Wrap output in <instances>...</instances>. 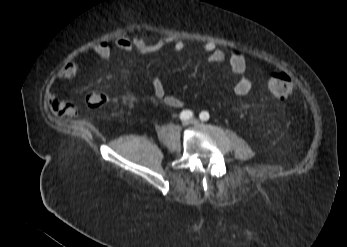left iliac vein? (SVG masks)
<instances>
[{
    "mask_svg": "<svg viewBox=\"0 0 347 247\" xmlns=\"http://www.w3.org/2000/svg\"><path fill=\"white\" fill-rule=\"evenodd\" d=\"M191 124L197 125V124H198V120L192 119V120H191Z\"/></svg>",
    "mask_w": 347,
    "mask_h": 247,
    "instance_id": "1",
    "label": "left iliac vein"
}]
</instances>
